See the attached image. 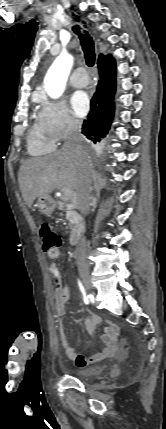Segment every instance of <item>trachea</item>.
Segmentation results:
<instances>
[{
    "instance_id": "1",
    "label": "trachea",
    "mask_w": 166,
    "mask_h": 429,
    "mask_svg": "<svg viewBox=\"0 0 166 429\" xmlns=\"http://www.w3.org/2000/svg\"><path fill=\"white\" fill-rule=\"evenodd\" d=\"M73 31L79 36L81 41V46L85 55L86 64L89 67H92L95 63V47L94 41L90 35L85 31L84 34L81 33L79 26H74Z\"/></svg>"
}]
</instances>
